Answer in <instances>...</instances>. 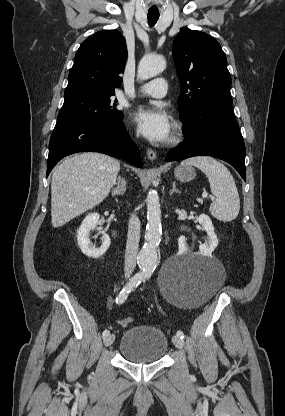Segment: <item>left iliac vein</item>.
I'll list each match as a JSON object with an SVG mask.
<instances>
[{
	"label": "left iliac vein",
	"instance_id": "4c4485c4",
	"mask_svg": "<svg viewBox=\"0 0 285 416\" xmlns=\"http://www.w3.org/2000/svg\"><path fill=\"white\" fill-rule=\"evenodd\" d=\"M172 342L177 348H179V349L183 348L184 342L180 337L173 336L172 337Z\"/></svg>",
	"mask_w": 285,
	"mask_h": 416
}]
</instances>
